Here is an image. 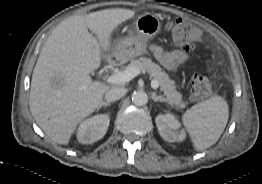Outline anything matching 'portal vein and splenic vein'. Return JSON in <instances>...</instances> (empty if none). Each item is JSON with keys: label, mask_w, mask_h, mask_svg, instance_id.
Listing matches in <instances>:
<instances>
[{"label": "portal vein and splenic vein", "mask_w": 262, "mask_h": 184, "mask_svg": "<svg viewBox=\"0 0 262 184\" xmlns=\"http://www.w3.org/2000/svg\"><path fill=\"white\" fill-rule=\"evenodd\" d=\"M140 69L137 67H129L124 71H121L117 74L106 77L105 81L109 84H121L126 83L133 79L135 76L140 74ZM151 87L156 90L159 87V84L156 80L151 81Z\"/></svg>", "instance_id": "1"}]
</instances>
